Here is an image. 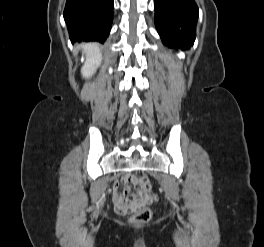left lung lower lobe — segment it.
Masks as SVG:
<instances>
[{"label":"left lung lower lobe","instance_id":"obj_1","mask_svg":"<svg viewBox=\"0 0 264 247\" xmlns=\"http://www.w3.org/2000/svg\"><path fill=\"white\" fill-rule=\"evenodd\" d=\"M155 26L164 45L183 50L195 40L199 10L194 0H154Z\"/></svg>","mask_w":264,"mask_h":247}]
</instances>
